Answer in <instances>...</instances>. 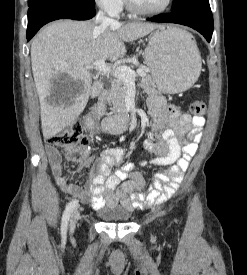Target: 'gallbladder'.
Segmentation results:
<instances>
[{
    "label": "gallbladder",
    "instance_id": "gallbladder-1",
    "mask_svg": "<svg viewBox=\"0 0 247 275\" xmlns=\"http://www.w3.org/2000/svg\"><path fill=\"white\" fill-rule=\"evenodd\" d=\"M78 84V82L72 80L67 74H59L51 81V93L54 95L58 92H64L73 96Z\"/></svg>",
    "mask_w": 247,
    "mask_h": 275
}]
</instances>
